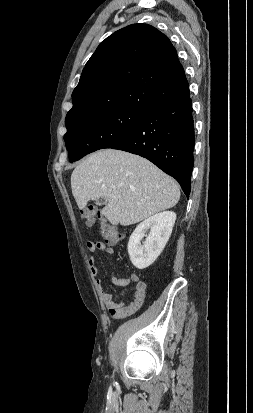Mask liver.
Instances as JSON below:
<instances>
[{
	"label": "liver",
	"instance_id": "liver-1",
	"mask_svg": "<svg viewBox=\"0 0 253 413\" xmlns=\"http://www.w3.org/2000/svg\"><path fill=\"white\" fill-rule=\"evenodd\" d=\"M75 201L84 209L104 198L102 209L112 225L141 222L177 204L180 189L173 178L147 159L129 152L103 149L89 155L72 172Z\"/></svg>",
	"mask_w": 253,
	"mask_h": 413
}]
</instances>
